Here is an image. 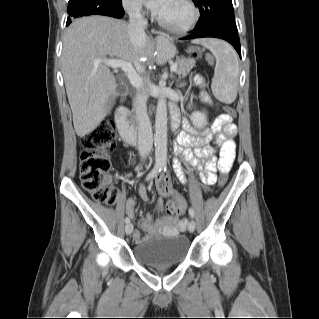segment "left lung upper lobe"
I'll list each match as a JSON object with an SVG mask.
<instances>
[{"instance_id": "left-lung-upper-lobe-1", "label": "left lung upper lobe", "mask_w": 319, "mask_h": 319, "mask_svg": "<svg viewBox=\"0 0 319 319\" xmlns=\"http://www.w3.org/2000/svg\"><path fill=\"white\" fill-rule=\"evenodd\" d=\"M198 6L201 18L196 29L225 27L237 30L234 20L232 0H192Z\"/></svg>"}]
</instances>
